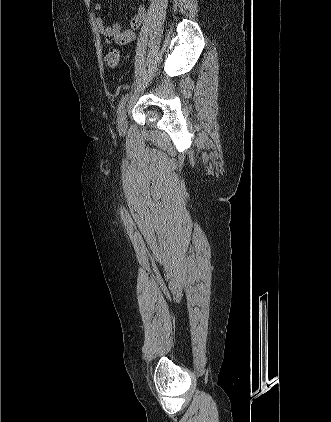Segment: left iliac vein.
Here are the masks:
<instances>
[{
	"label": "left iliac vein",
	"instance_id": "obj_1",
	"mask_svg": "<svg viewBox=\"0 0 331 422\" xmlns=\"http://www.w3.org/2000/svg\"><path fill=\"white\" fill-rule=\"evenodd\" d=\"M126 113H127L126 108H123L118 120V130L122 133L127 130Z\"/></svg>",
	"mask_w": 331,
	"mask_h": 422
}]
</instances>
